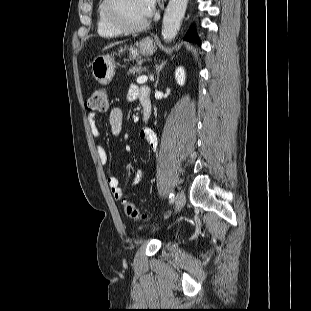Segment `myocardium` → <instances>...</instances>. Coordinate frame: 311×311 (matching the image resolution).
Here are the masks:
<instances>
[{"instance_id": "1", "label": "myocardium", "mask_w": 311, "mask_h": 311, "mask_svg": "<svg viewBox=\"0 0 311 311\" xmlns=\"http://www.w3.org/2000/svg\"><path fill=\"white\" fill-rule=\"evenodd\" d=\"M120 0H105L104 15L107 22L121 33L132 34L146 30L150 25V18L140 25L130 26L125 24L118 15L117 5Z\"/></svg>"}]
</instances>
